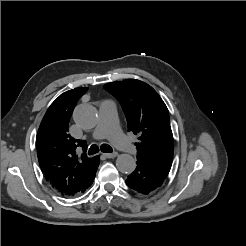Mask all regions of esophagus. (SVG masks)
Instances as JSON below:
<instances>
[{"mask_svg": "<svg viewBox=\"0 0 246 246\" xmlns=\"http://www.w3.org/2000/svg\"><path fill=\"white\" fill-rule=\"evenodd\" d=\"M118 155L117 152H113V153H104L103 156L106 157V158H114Z\"/></svg>", "mask_w": 246, "mask_h": 246, "instance_id": "34e87169", "label": "esophagus"}]
</instances>
